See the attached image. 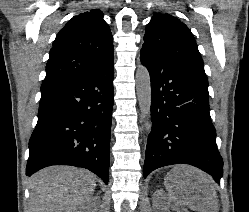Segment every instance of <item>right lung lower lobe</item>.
Segmentation results:
<instances>
[{"label":"right lung lower lobe","mask_w":249,"mask_h":212,"mask_svg":"<svg viewBox=\"0 0 249 212\" xmlns=\"http://www.w3.org/2000/svg\"><path fill=\"white\" fill-rule=\"evenodd\" d=\"M113 76L112 60L88 75L41 89L26 175L51 165H71L108 183Z\"/></svg>","instance_id":"98d812e1"}]
</instances>
